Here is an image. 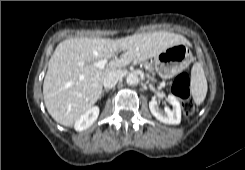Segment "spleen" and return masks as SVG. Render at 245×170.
I'll return each instance as SVG.
<instances>
[{"instance_id":"spleen-1","label":"spleen","mask_w":245,"mask_h":170,"mask_svg":"<svg viewBox=\"0 0 245 170\" xmlns=\"http://www.w3.org/2000/svg\"><path fill=\"white\" fill-rule=\"evenodd\" d=\"M207 80L201 63H195L191 70L190 91L196 105H200L207 94Z\"/></svg>"}]
</instances>
